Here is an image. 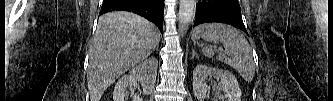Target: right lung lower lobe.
<instances>
[{
	"label": "right lung lower lobe",
	"instance_id": "98d812e1",
	"mask_svg": "<svg viewBox=\"0 0 333 101\" xmlns=\"http://www.w3.org/2000/svg\"><path fill=\"white\" fill-rule=\"evenodd\" d=\"M164 0H103L99 15L110 11H130L153 22L163 34Z\"/></svg>",
	"mask_w": 333,
	"mask_h": 101
}]
</instances>
